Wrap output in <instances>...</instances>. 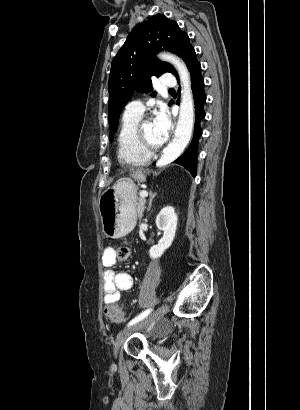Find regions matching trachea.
I'll return each mask as SVG.
<instances>
[{
    "instance_id": "3493384b",
    "label": "trachea",
    "mask_w": 300,
    "mask_h": 410,
    "mask_svg": "<svg viewBox=\"0 0 300 410\" xmlns=\"http://www.w3.org/2000/svg\"><path fill=\"white\" fill-rule=\"evenodd\" d=\"M169 91H174V89H173V88H171V89H169Z\"/></svg>"
}]
</instances>
